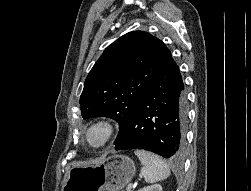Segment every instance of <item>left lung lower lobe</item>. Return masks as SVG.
Segmentation results:
<instances>
[{
	"mask_svg": "<svg viewBox=\"0 0 251 191\" xmlns=\"http://www.w3.org/2000/svg\"><path fill=\"white\" fill-rule=\"evenodd\" d=\"M183 90L179 68L171 57L142 98L115 150L144 149L164 158L180 156L186 121Z\"/></svg>",
	"mask_w": 251,
	"mask_h": 191,
	"instance_id": "left-lung-lower-lobe-1",
	"label": "left lung lower lobe"
}]
</instances>
